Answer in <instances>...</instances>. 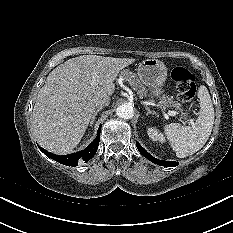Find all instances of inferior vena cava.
<instances>
[{"label": "inferior vena cava", "mask_w": 233, "mask_h": 233, "mask_svg": "<svg viewBox=\"0 0 233 233\" xmlns=\"http://www.w3.org/2000/svg\"><path fill=\"white\" fill-rule=\"evenodd\" d=\"M109 104H110V97L105 96L97 101L96 106L99 108V107L107 106Z\"/></svg>", "instance_id": "602c4592"}]
</instances>
